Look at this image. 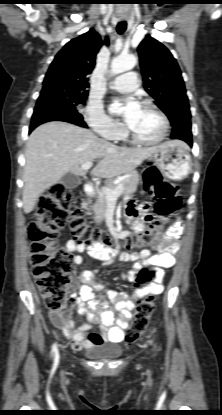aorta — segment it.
Segmentation results:
<instances>
[{
  "instance_id": "obj_1",
  "label": "aorta",
  "mask_w": 222,
  "mask_h": 415,
  "mask_svg": "<svg viewBox=\"0 0 222 415\" xmlns=\"http://www.w3.org/2000/svg\"><path fill=\"white\" fill-rule=\"evenodd\" d=\"M137 64V58L134 55H120L115 57L111 62V74L117 75L129 71Z\"/></svg>"
}]
</instances>
